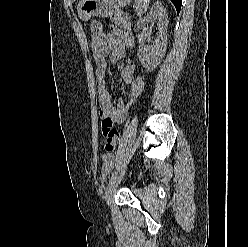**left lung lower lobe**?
<instances>
[{"label":"left lung lower lobe","mask_w":248,"mask_h":247,"mask_svg":"<svg viewBox=\"0 0 248 247\" xmlns=\"http://www.w3.org/2000/svg\"><path fill=\"white\" fill-rule=\"evenodd\" d=\"M171 1L177 10V13H179L182 5V0H171Z\"/></svg>","instance_id":"1"}]
</instances>
